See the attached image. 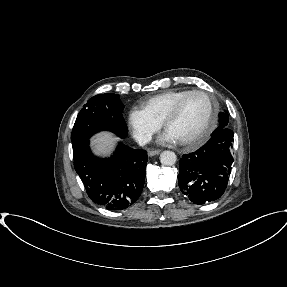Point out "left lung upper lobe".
Here are the masks:
<instances>
[{"mask_svg":"<svg viewBox=\"0 0 287 287\" xmlns=\"http://www.w3.org/2000/svg\"><path fill=\"white\" fill-rule=\"evenodd\" d=\"M228 121H229L228 114L221 112L219 114V122H220L219 127L213 132V134L218 132L221 129L227 128Z\"/></svg>","mask_w":287,"mask_h":287,"instance_id":"left-lung-upper-lobe-1","label":"left lung upper lobe"}]
</instances>
